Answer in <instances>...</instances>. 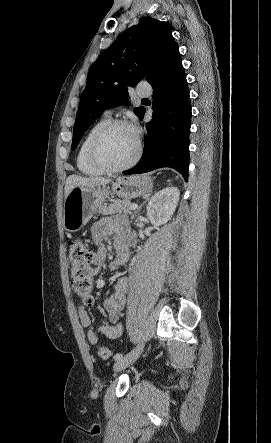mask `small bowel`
<instances>
[{
  "instance_id": "c3829d8e",
  "label": "small bowel",
  "mask_w": 271,
  "mask_h": 443,
  "mask_svg": "<svg viewBox=\"0 0 271 443\" xmlns=\"http://www.w3.org/2000/svg\"><path fill=\"white\" fill-rule=\"evenodd\" d=\"M92 238L97 245L94 264L99 270L106 259V248L104 242L108 238H113L115 242L116 255L112 263L113 268H117L128 261V235L126 230L109 218L98 220L92 227ZM128 290V280L126 277L117 279L113 292L108 295L103 303L109 323L99 327L98 331L92 328V321L84 306L79 307V319L81 325L86 329L88 340L96 344L99 334L108 339H117L122 334V324L120 316L125 304V297Z\"/></svg>"
}]
</instances>
